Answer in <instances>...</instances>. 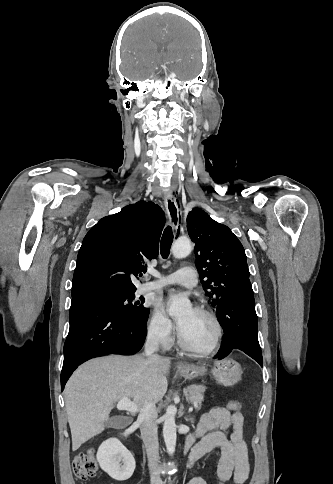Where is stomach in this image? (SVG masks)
Returning a JSON list of instances; mask_svg holds the SVG:
<instances>
[{
	"label": "stomach",
	"instance_id": "obj_1",
	"mask_svg": "<svg viewBox=\"0 0 333 484\" xmlns=\"http://www.w3.org/2000/svg\"><path fill=\"white\" fill-rule=\"evenodd\" d=\"M177 372L186 380H192L204 376L207 373V367L205 365L180 364L177 367ZM210 372L219 384L230 387L241 379L242 368L238 362L227 357L215 361Z\"/></svg>",
	"mask_w": 333,
	"mask_h": 484
}]
</instances>
